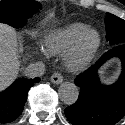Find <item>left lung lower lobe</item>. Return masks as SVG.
Instances as JSON below:
<instances>
[{
	"mask_svg": "<svg viewBox=\"0 0 125 125\" xmlns=\"http://www.w3.org/2000/svg\"><path fill=\"white\" fill-rule=\"evenodd\" d=\"M117 56L122 62V72L116 83L101 84L98 69L109 58ZM80 87L77 101L64 112L72 125H115L125 116V44H118L88 70L75 79Z\"/></svg>",
	"mask_w": 125,
	"mask_h": 125,
	"instance_id": "left-lung-lower-lobe-1",
	"label": "left lung lower lobe"
}]
</instances>
